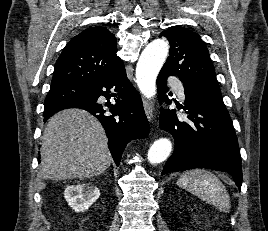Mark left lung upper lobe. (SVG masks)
Listing matches in <instances>:
<instances>
[{
    "label": "left lung upper lobe",
    "mask_w": 268,
    "mask_h": 231,
    "mask_svg": "<svg viewBox=\"0 0 268 231\" xmlns=\"http://www.w3.org/2000/svg\"><path fill=\"white\" fill-rule=\"evenodd\" d=\"M161 36L166 37L170 43L169 57L161 71L177 75L186 89L228 114L209 52L200 36L178 26L164 30Z\"/></svg>",
    "instance_id": "5c2ea615"
}]
</instances>
